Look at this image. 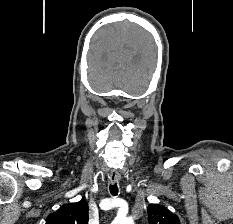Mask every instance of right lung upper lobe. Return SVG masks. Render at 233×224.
I'll list each match as a JSON object with an SVG mask.
<instances>
[{
	"mask_svg": "<svg viewBox=\"0 0 233 224\" xmlns=\"http://www.w3.org/2000/svg\"><path fill=\"white\" fill-rule=\"evenodd\" d=\"M46 224H88V205L85 201L65 204L47 217Z\"/></svg>",
	"mask_w": 233,
	"mask_h": 224,
	"instance_id": "obj_1",
	"label": "right lung upper lobe"
}]
</instances>
